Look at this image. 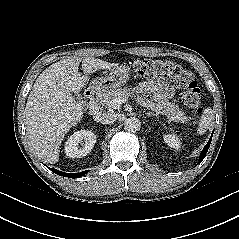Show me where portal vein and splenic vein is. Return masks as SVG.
Instances as JSON below:
<instances>
[{
    "label": "portal vein and splenic vein",
    "mask_w": 239,
    "mask_h": 239,
    "mask_svg": "<svg viewBox=\"0 0 239 239\" xmlns=\"http://www.w3.org/2000/svg\"><path fill=\"white\" fill-rule=\"evenodd\" d=\"M127 101L126 97H118L110 101V108L118 109L123 103Z\"/></svg>",
    "instance_id": "obj_1"
}]
</instances>
